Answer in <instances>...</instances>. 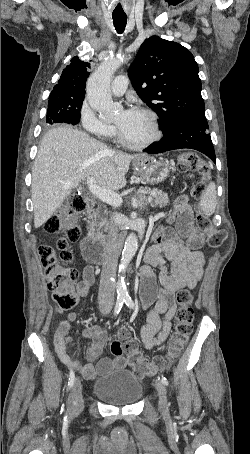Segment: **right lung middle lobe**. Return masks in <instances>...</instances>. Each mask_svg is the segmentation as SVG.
Here are the masks:
<instances>
[{
  "mask_svg": "<svg viewBox=\"0 0 250 454\" xmlns=\"http://www.w3.org/2000/svg\"><path fill=\"white\" fill-rule=\"evenodd\" d=\"M84 98L76 100L52 97L48 101L46 123H69L76 125L80 121V109Z\"/></svg>",
  "mask_w": 250,
  "mask_h": 454,
  "instance_id": "dd1d6c3e",
  "label": "right lung middle lobe"
}]
</instances>
